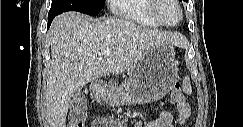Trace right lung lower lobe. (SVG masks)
I'll return each instance as SVG.
<instances>
[{
	"label": "right lung lower lobe",
	"instance_id": "right-lung-lower-lobe-1",
	"mask_svg": "<svg viewBox=\"0 0 243 127\" xmlns=\"http://www.w3.org/2000/svg\"><path fill=\"white\" fill-rule=\"evenodd\" d=\"M54 15H48V26H50L52 20L54 19Z\"/></svg>",
	"mask_w": 243,
	"mask_h": 127
}]
</instances>
